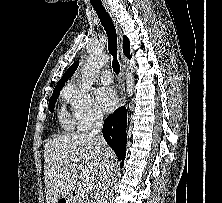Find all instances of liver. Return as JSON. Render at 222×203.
<instances>
[{
    "label": "liver",
    "instance_id": "obj_1",
    "mask_svg": "<svg viewBox=\"0 0 222 203\" xmlns=\"http://www.w3.org/2000/svg\"><path fill=\"white\" fill-rule=\"evenodd\" d=\"M114 158L105 141L84 133H68L48 140L44 147L46 203H56L61 196L70 195L79 179L94 186L107 161L113 164Z\"/></svg>",
    "mask_w": 222,
    "mask_h": 203
}]
</instances>
